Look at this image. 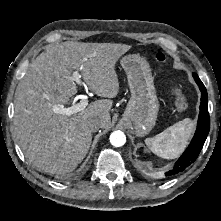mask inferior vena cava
I'll return each mask as SVG.
<instances>
[{
    "mask_svg": "<svg viewBox=\"0 0 221 221\" xmlns=\"http://www.w3.org/2000/svg\"><path fill=\"white\" fill-rule=\"evenodd\" d=\"M102 126V121L99 118H93L88 121V128L91 132H96Z\"/></svg>",
    "mask_w": 221,
    "mask_h": 221,
    "instance_id": "1",
    "label": "inferior vena cava"
}]
</instances>
